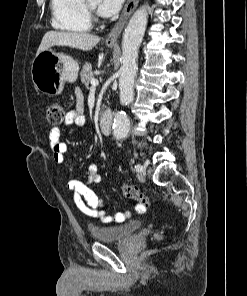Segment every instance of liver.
<instances>
[{
    "instance_id": "1",
    "label": "liver",
    "mask_w": 247,
    "mask_h": 296,
    "mask_svg": "<svg viewBox=\"0 0 247 296\" xmlns=\"http://www.w3.org/2000/svg\"><path fill=\"white\" fill-rule=\"evenodd\" d=\"M99 41L98 36L88 33L49 31L43 36L37 54L52 46H66L82 51H90Z\"/></svg>"
}]
</instances>
